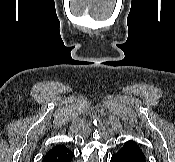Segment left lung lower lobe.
Returning a JSON list of instances; mask_svg holds the SVG:
<instances>
[{
	"label": "left lung lower lobe",
	"instance_id": "left-lung-lower-lobe-1",
	"mask_svg": "<svg viewBox=\"0 0 175 162\" xmlns=\"http://www.w3.org/2000/svg\"><path fill=\"white\" fill-rule=\"evenodd\" d=\"M111 162H146L145 155L134 141L126 142L111 158Z\"/></svg>",
	"mask_w": 175,
	"mask_h": 162
}]
</instances>
